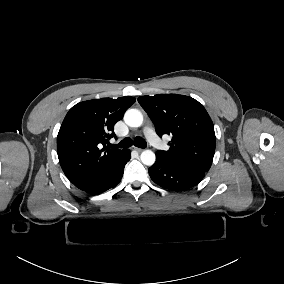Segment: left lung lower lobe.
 I'll use <instances>...</instances> for the list:
<instances>
[{
  "mask_svg": "<svg viewBox=\"0 0 284 284\" xmlns=\"http://www.w3.org/2000/svg\"><path fill=\"white\" fill-rule=\"evenodd\" d=\"M205 173L169 163L157 155L156 162L149 168V175L156 184L173 191H185L196 186Z\"/></svg>",
  "mask_w": 284,
  "mask_h": 284,
  "instance_id": "0a47b994",
  "label": "left lung lower lobe"
}]
</instances>
